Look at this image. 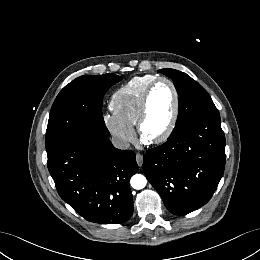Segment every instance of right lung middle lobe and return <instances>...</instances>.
<instances>
[{
	"instance_id": "right-lung-middle-lobe-1",
	"label": "right lung middle lobe",
	"mask_w": 260,
	"mask_h": 260,
	"mask_svg": "<svg viewBox=\"0 0 260 260\" xmlns=\"http://www.w3.org/2000/svg\"><path fill=\"white\" fill-rule=\"evenodd\" d=\"M121 79L115 74L84 75L61 90L51 108L46 131L48 157L78 135H110L102 115V101L108 89Z\"/></svg>"
}]
</instances>
